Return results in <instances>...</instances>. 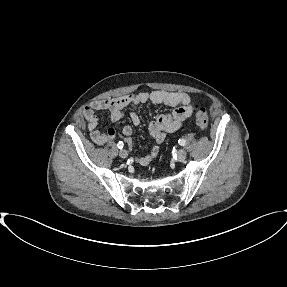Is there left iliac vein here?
<instances>
[{
    "mask_svg": "<svg viewBox=\"0 0 287 287\" xmlns=\"http://www.w3.org/2000/svg\"><path fill=\"white\" fill-rule=\"evenodd\" d=\"M186 158V151L184 149H180L177 152V159L178 161H183Z\"/></svg>",
    "mask_w": 287,
    "mask_h": 287,
    "instance_id": "4c4485c4",
    "label": "left iliac vein"
}]
</instances>
